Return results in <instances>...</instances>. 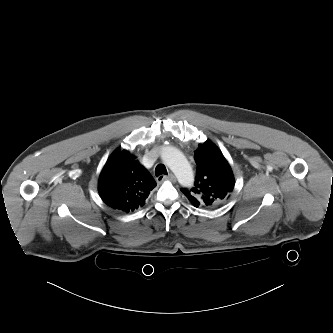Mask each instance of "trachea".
Wrapping results in <instances>:
<instances>
[{
    "label": "trachea",
    "mask_w": 333,
    "mask_h": 333,
    "mask_svg": "<svg viewBox=\"0 0 333 333\" xmlns=\"http://www.w3.org/2000/svg\"><path fill=\"white\" fill-rule=\"evenodd\" d=\"M167 169L163 164H158L155 168V175L158 177L159 175H167Z\"/></svg>",
    "instance_id": "trachea-1"
}]
</instances>
